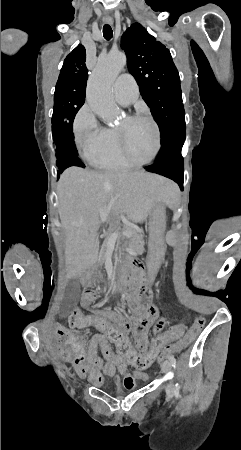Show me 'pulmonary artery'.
Returning <instances> with one entry per match:
<instances>
[{
	"mask_svg": "<svg viewBox=\"0 0 241 450\" xmlns=\"http://www.w3.org/2000/svg\"><path fill=\"white\" fill-rule=\"evenodd\" d=\"M136 95L133 79L128 74H122L115 82L114 97L120 105L128 106Z\"/></svg>",
	"mask_w": 241,
	"mask_h": 450,
	"instance_id": "1",
	"label": "pulmonary artery"
}]
</instances>
